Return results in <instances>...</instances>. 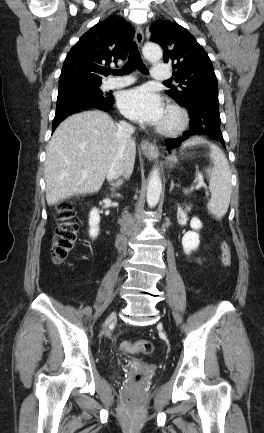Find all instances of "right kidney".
<instances>
[{"label":"right kidney","mask_w":264,"mask_h":433,"mask_svg":"<svg viewBox=\"0 0 264 433\" xmlns=\"http://www.w3.org/2000/svg\"><path fill=\"white\" fill-rule=\"evenodd\" d=\"M99 222H100L99 213L97 209L94 208L90 212V218H89V226H90L89 235L92 238L97 237V235L99 234Z\"/></svg>","instance_id":"right-kidney-1"}]
</instances>
